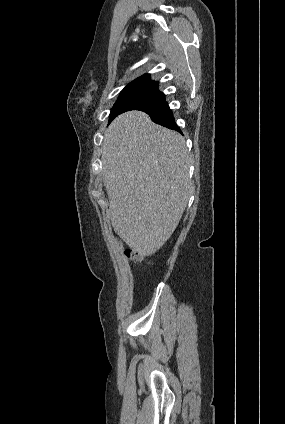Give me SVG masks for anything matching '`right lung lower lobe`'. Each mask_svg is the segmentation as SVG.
<instances>
[{
	"instance_id": "98d812e1",
	"label": "right lung lower lobe",
	"mask_w": 285,
	"mask_h": 424,
	"mask_svg": "<svg viewBox=\"0 0 285 424\" xmlns=\"http://www.w3.org/2000/svg\"><path fill=\"white\" fill-rule=\"evenodd\" d=\"M130 110L143 111L151 117L153 122L181 132L180 128L175 123L172 110L169 108L163 92L158 91L152 95L136 100L127 106L123 112Z\"/></svg>"
}]
</instances>
